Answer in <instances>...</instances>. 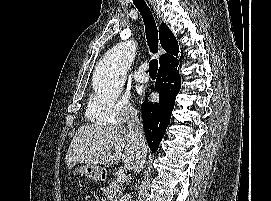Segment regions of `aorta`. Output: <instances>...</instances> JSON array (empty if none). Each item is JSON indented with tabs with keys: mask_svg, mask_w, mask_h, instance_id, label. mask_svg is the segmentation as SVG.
Listing matches in <instances>:
<instances>
[{
	"mask_svg": "<svg viewBox=\"0 0 271 201\" xmlns=\"http://www.w3.org/2000/svg\"><path fill=\"white\" fill-rule=\"evenodd\" d=\"M135 41L121 42L106 52L95 68L94 89L104 99H116L123 87L125 75L135 57Z\"/></svg>",
	"mask_w": 271,
	"mask_h": 201,
	"instance_id": "762f6f07",
	"label": "aorta"
}]
</instances>
